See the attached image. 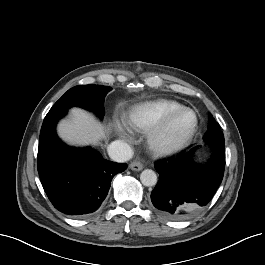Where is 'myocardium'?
Wrapping results in <instances>:
<instances>
[{
  "label": "myocardium",
  "instance_id": "obj_1",
  "mask_svg": "<svg viewBox=\"0 0 265 265\" xmlns=\"http://www.w3.org/2000/svg\"><path fill=\"white\" fill-rule=\"evenodd\" d=\"M184 112L194 115V125L190 132L183 137L174 138L169 134L172 120ZM199 128L197 113L189 107H181L166 114L147 134V145L149 149L158 156H167L186 148L195 137Z\"/></svg>",
  "mask_w": 265,
  "mask_h": 265
}]
</instances>
